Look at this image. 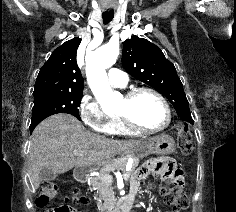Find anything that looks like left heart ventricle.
<instances>
[{
  "instance_id": "b2bd125f",
  "label": "left heart ventricle",
  "mask_w": 236,
  "mask_h": 212,
  "mask_svg": "<svg viewBox=\"0 0 236 212\" xmlns=\"http://www.w3.org/2000/svg\"><path fill=\"white\" fill-rule=\"evenodd\" d=\"M128 105L123 98L118 114L126 111ZM131 111L136 122L143 128L161 127L167 120V113L162 102L149 93L140 94L133 102Z\"/></svg>"
}]
</instances>
